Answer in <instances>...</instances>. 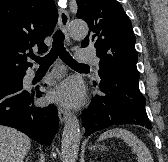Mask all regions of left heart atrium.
I'll return each instance as SVG.
<instances>
[{
    "mask_svg": "<svg viewBox=\"0 0 168 162\" xmlns=\"http://www.w3.org/2000/svg\"><path fill=\"white\" fill-rule=\"evenodd\" d=\"M83 93L81 85L75 80H68L51 93L53 100L67 105H77L82 100Z\"/></svg>",
    "mask_w": 168,
    "mask_h": 162,
    "instance_id": "1",
    "label": "left heart atrium"
}]
</instances>
